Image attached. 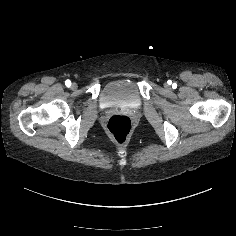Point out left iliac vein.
Listing matches in <instances>:
<instances>
[{
  "label": "left iliac vein",
  "mask_w": 236,
  "mask_h": 236,
  "mask_svg": "<svg viewBox=\"0 0 236 236\" xmlns=\"http://www.w3.org/2000/svg\"><path fill=\"white\" fill-rule=\"evenodd\" d=\"M165 87L168 88V87H169V84L165 83Z\"/></svg>",
  "instance_id": "4c4485c4"
}]
</instances>
